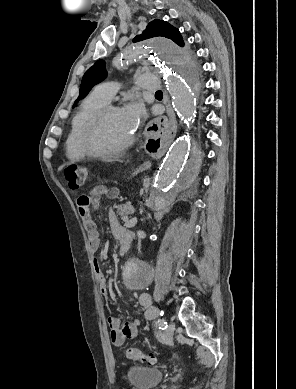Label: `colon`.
<instances>
[{"instance_id":"obj_1","label":"colon","mask_w":296,"mask_h":389,"mask_svg":"<svg viewBox=\"0 0 296 389\" xmlns=\"http://www.w3.org/2000/svg\"><path fill=\"white\" fill-rule=\"evenodd\" d=\"M88 169L83 166L72 165L65 169L64 177L71 189L77 190L84 186L88 178ZM125 355L127 358L132 360H137L141 362H147L149 364H154L156 362V357L153 354H146L141 350L133 347H128L125 349Z\"/></svg>"}]
</instances>
